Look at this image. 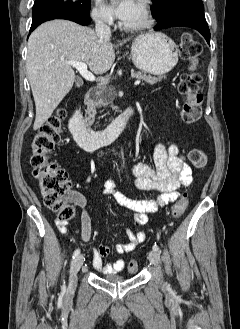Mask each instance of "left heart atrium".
<instances>
[{
	"label": "left heart atrium",
	"mask_w": 240,
	"mask_h": 329,
	"mask_svg": "<svg viewBox=\"0 0 240 329\" xmlns=\"http://www.w3.org/2000/svg\"><path fill=\"white\" fill-rule=\"evenodd\" d=\"M136 7V0H110L108 10L114 17L125 21L127 20Z\"/></svg>",
	"instance_id": "1"
}]
</instances>
